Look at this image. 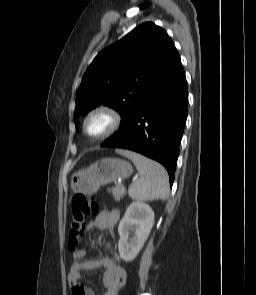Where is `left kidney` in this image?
<instances>
[{
  "mask_svg": "<svg viewBox=\"0 0 256 295\" xmlns=\"http://www.w3.org/2000/svg\"><path fill=\"white\" fill-rule=\"evenodd\" d=\"M153 223L154 212L148 204L135 201L128 206L118 226V251L124 261L130 262L136 258L149 236ZM131 232L133 236L129 238Z\"/></svg>",
  "mask_w": 256,
  "mask_h": 295,
  "instance_id": "obj_1",
  "label": "left kidney"
}]
</instances>
